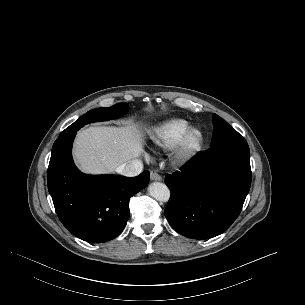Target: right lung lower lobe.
Masks as SVG:
<instances>
[{
  "mask_svg": "<svg viewBox=\"0 0 305 305\" xmlns=\"http://www.w3.org/2000/svg\"><path fill=\"white\" fill-rule=\"evenodd\" d=\"M78 128L61 133L52 147L48 190L63 225L76 237L103 243L117 237L129 218V199L145 188L149 171L137 177L80 172L71 155Z\"/></svg>",
  "mask_w": 305,
  "mask_h": 305,
  "instance_id": "obj_1",
  "label": "right lung lower lobe"
}]
</instances>
